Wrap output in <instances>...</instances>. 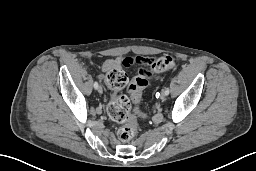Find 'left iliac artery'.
<instances>
[{
    "mask_svg": "<svg viewBox=\"0 0 256 171\" xmlns=\"http://www.w3.org/2000/svg\"><path fill=\"white\" fill-rule=\"evenodd\" d=\"M164 92H165L166 95H168L169 94V88H165Z\"/></svg>",
    "mask_w": 256,
    "mask_h": 171,
    "instance_id": "44dca946",
    "label": "left iliac artery"
}]
</instances>
